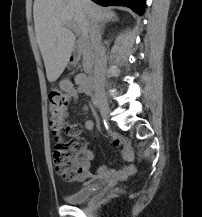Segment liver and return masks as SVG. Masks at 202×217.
<instances>
[{
    "mask_svg": "<svg viewBox=\"0 0 202 217\" xmlns=\"http://www.w3.org/2000/svg\"><path fill=\"white\" fill-rule=\"evenodd\" d=\"M115 16L91 0H35V33L48 81L58 79L74 50L75 36L66 23L74 24L82 37L88 38L91 21L102 22Z\"/></svg>",
    "mask_w": 202,
    "mask_h": 217,
    "instance_id": "1",
    "label": "liver"
}]
</instances>
